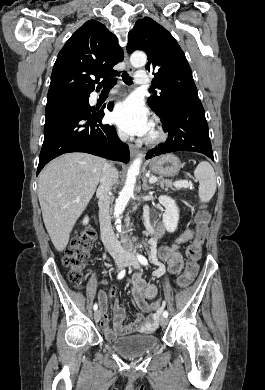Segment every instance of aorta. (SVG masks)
<instances>
[{"label": "aorta", "mask_w": 265, "mask_h": 390, "mask_svg": "<svg viewBox=\"0 0 265 390\" xmlns=\"http://www.w3.org/2000/svg\"><path fill=\"white\" fill-rule=\"evenodd\" d=\"M147 57L143 52H134L130 57V63L135 68H140L146 65ZM142 163V155H139L130 165L127 171V177L125 185L123 186L118 198L115 202L114 216L115 224L118 232H121V214L125 210L130 198L134 193V186L136 183V177L139 174L140 166Z\"/></svg>", "instance_id": "1"}]
</instances>
